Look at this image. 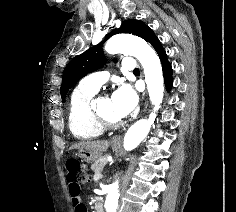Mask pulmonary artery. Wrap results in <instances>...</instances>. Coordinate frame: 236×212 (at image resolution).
<instances>
[{"label": "pulmonary artery", "instance_id": "obj_1", "mask_svg": "<svg viewBox=\"0 0 236 212\" xmlns=\"http://www.w3.org/2000/svg\"><path fill=\"white\" fill-rule=\"evenodd\" d=\"M122 65L123 68L127 71H133L137 67L135 60L132 58H124ZM107 80H108V72L101 71L92 73L87 77H85L82 80V84L87 87L99 89Z\"/></svg>", "mask_w": 236, "mask_h": 212}]
</instances>
